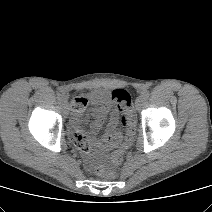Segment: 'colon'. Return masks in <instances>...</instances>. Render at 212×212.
<instances>
[{
	"mask_svg": "<svg viewBox=\"0 0 212 212\" xmlns=\"http://www.w3.org/2000/svg\"><path fill=\"white\" fill-rule=\"evenodd\" d=\"M111 99L117 103L119 109L121 110V125L122 127L127 131V136L125 142L122 144V146L117 149L113 155H112V164L113 166H118L121 164L123 160V154L126 151V149L129 147L131 140H132V134L134 131V119L130 115L126 113V111L131 106V96L130 94L124 90V89H115L111 92ZM72 107L74 110H80L83 107L82 101L78 98L76 99ZM72 141L82 150H86L87 147L85 143L79 141L75 137L71 138ZM97 174L101 177L106 178H112L116 175L115 171L112 168L106 167V166H100L97 168Z\"/></svg>",
	"mask_w": 212,
	"mask_h": 212,
	"instance_id": "5ec220e1",
	"label": "colon"
}]
</instances>
